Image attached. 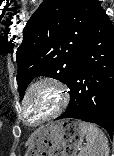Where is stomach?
<instances>
[{
    "instance_id": "0dacf381",
    "label": "stomach",
    "mask_w": 114,
    "mask_h": 156,
    "mask_svg": "<svg viewBox=\"0 0 114 156\" xmlns=\"http://www.w3.org/2000/svg\"><path fill=\"white\" fill-rule=\"evenodd\" d=\"M80 122L64 119L39 128L31 137L25 156H81L82 151H78L85 134Z\"/></svg>"
}]
</instances>
